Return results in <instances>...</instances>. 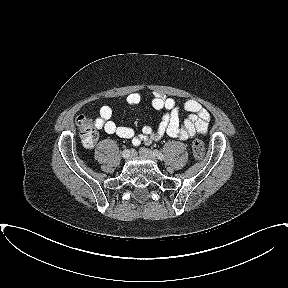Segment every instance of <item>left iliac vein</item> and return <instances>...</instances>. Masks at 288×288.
I'll use <instances>...</instances> for the list:
<instances>
[{
    "label": "left iliac vein",
    "instance_id": "obj_1",
    "mask_svg": "<svg viewBox=\"0 0 288 288\" xmlns=\"http://www.w3.org/2000/svg\"><path fill=\"white\" fill-rule=\"evenodd\" d=\"M139 154H140V156L147 158V159H150L153 162L157 163V158L151 150H149L147 148H140Z\"/></svg>",
    "mask_w": 288,
    "mask_h": 288
}]
</instances>
